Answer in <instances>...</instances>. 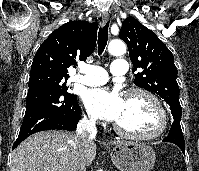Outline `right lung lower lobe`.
<instances>
[{
  "label": "right lung lower lobe",
  "instance_id": "98d812e1",
  "mask_svg": "<svg viewBox=\"0 0 199 171\" xmlns=\"http://www.w3.org/2000/svg\"><path fill=\"white\" fill-rule=\"evenodd\" d=\"M80 118L81 109L77 96L65 95L49 84L29 86L25 116L13 149L39 131L76 130Z\"/></svg>",
  "mask_w": 199,
  "mask_h": 171
}]
</instances>
